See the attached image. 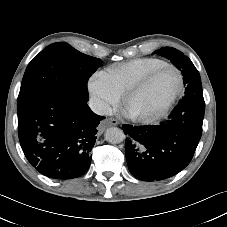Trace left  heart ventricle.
<instances>
[{
    "label": "left heart ventricle",
    "instance_id": "b2bd125f",
    "mask_svg": "<svg viewBox=\"0 0 227 227\" xmlns=\"http://www.w3.org/2000/svg\"><path fill=\"white\" fill-rule=\"evenodd\" d=\"M179 77L175 70L159 73L140 93L127 103V110L135 115H153L161 111L176 93Z\"/></svg>",
    "mask_w": 227,
    "mask_h": 227
}]
</instances>
